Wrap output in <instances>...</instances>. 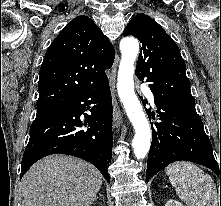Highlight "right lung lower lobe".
<instances>
[{"instance_id":"98d812e1","label":"right lung lower lobe","mask_w":221,"mask_h":206,"mask_svg":"<svg viewBox=\"0 0 221 206\" xmlns=\"http://www.w3.org/2000/svg\"><path fill=\"white\" fill-rule=\"evenodd\" d=\"M86 109H90L91 115L84 113ZM81 115L85 116L84 122ZM112 146V98L107 78L76 99L37 112L23 155L20 178L39 159L62 153L92 163L110 181L108 166Z\"/></svg>"}]
</instances>
